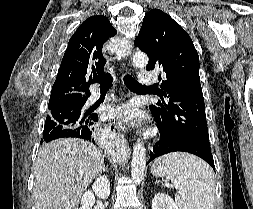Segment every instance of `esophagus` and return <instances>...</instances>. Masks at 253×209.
Returning a JSON list of instances; mask_svg holds the SVG:
<instances>
[{
	"label": "esophagus",
	"instance_id": "34e87169",
	"mask_svg": "<svg viewBox=\"0 0 253 209\" xmlns=\"http://www.w3.org/2000/svg\"><path fill=\"white\" fill-rule=\"evenodd\" d=\"M126 49H127V55L130 54L131 52V49H132V46L130 44H127L125 45ZM106 127L109 129V130H113L114 132H116L118 135L120 134V129L118 127L117 124L115 123H109L106 125Z\"/></svg>",
	"mask_w": 253,
	"mask_h": 209
}]
</instances>
